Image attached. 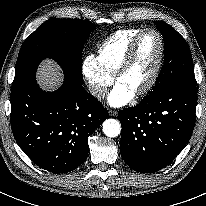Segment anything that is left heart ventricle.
Returning a JSON list of instances; mask_svg holds the SVG:
<instances>
[{"label": "left heart ventricle", "mask_w": 206, "mask_h": 206, "mask_svg": "<svg viewBox=\"0 0 206 206\" xmlns=\"http://www.w3.org/2000/svg\"><path fill=\"white\" fill-rule=\"evenodd\" d=\"M159 49V40L155 34L148 33L144 35L130 67L118 82L134 93L140 90L151 77L158 59Z\"/></svg>", "instance_id": "obj_1"}]
</instances>
